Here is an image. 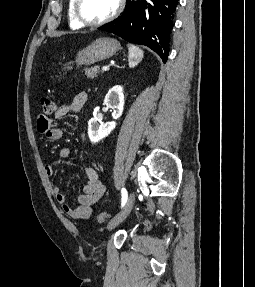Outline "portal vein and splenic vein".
Listing matches in <instances>:
<instances>
[{"label": "portal vein and splenic vein", "instance_id": "portal-vein-and-splenic-vein-1", "mask_svg": "<svg viewBox=\"0 0 255 287\" xmlns=\"http://www.w3.org/2000/svg\"><path fill=\"white\" fill-rule=\"evenodd\" d=\"M102 70H105V72H106V70H110V68H109V66H103Z\"/></svg>", "mask_w": 255, "mask_h": 287}]
</instances>
